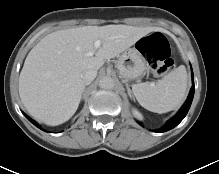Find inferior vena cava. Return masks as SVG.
<instances>
[{"instance_id":"inferior-vena-cava-1","label":"inferior vena cava","mask_w":219,"mask_h":174,"mask_svg":"<svg viewBox=\"0 0 219 174\" xmlns=\"http://www.w3.org/2000/svg\"><path fill=\"white\" fill-rule=\"evenodd\" d=\"M97 76V71L90 69L82 74V79L86 85L90 84Z\"/></svg>"}]
</instances>
